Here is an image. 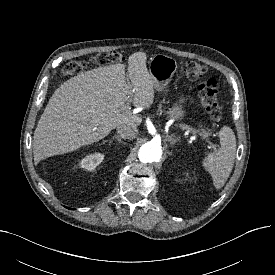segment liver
<instances>
[{"label": "liver", "instance_id": "obj_1", "mask_svg": "<svg viewBox=\"0 0 275 275\" xmlns=\"http://www.w3.org/2000/svg\"><path fill=\"white\" fill-rule=\"evenodd\" d=\"M146 53L81 73L64 82L51 96L33 140L35 162L97 142L121 126L138 127L142 118L124 110L131 99L137 108L148 109L154 101V83L146 67Z\"/></svg>", "mask_w": 275, "mask_h": 275}]
</instances>
